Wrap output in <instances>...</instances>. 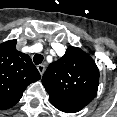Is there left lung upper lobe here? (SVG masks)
<instances>
[{"label":"left lung upper lobe","mask_w":117,"mask_h":117,"mask_svg":"<svg viewBox=\"0 0 117 117\" xmlns=\"http://www.w3.org/2000/svg\"><path fill=\"white\" fill-rule=\"evenodd\" d=\"M42 84L53 106L78 112L96 96L99 70L87 53L71 46L48 66Z\"/></svg>","instance_id":"left-lung-upper-lobe-1"}]
</instances>
